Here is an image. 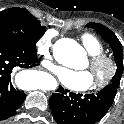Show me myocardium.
I'll return each mask as SVG.
<instances>
[{"label":"myocardium","mask_w":124,"mask_h":124,"mask_svg":"<svg viewBox=\"0 0 124 124\" xmlns=\"http://www.w3.org/2000/svg\"><path fill=\"white\" fill-rule=\"evenodd\" d=\"M89 67L92 71L104 68V73L95 79L94 87L102 89L110 84L116 74V64L114 60L104 53L90 54Z\"/></svg>","instance_id":"myocardium-1"}]
</instances>
